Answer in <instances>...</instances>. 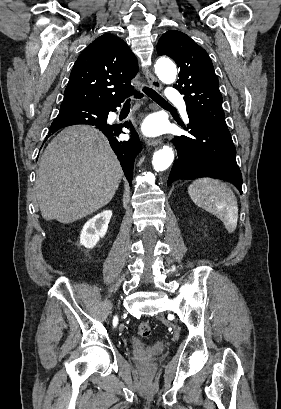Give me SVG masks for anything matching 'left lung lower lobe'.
Here are the masks:
<instances>
[{
  "instance_id": "0a47b994",
  "label": "left lung lower lobe",
  "mask_w": 281,
  "mask_h": 409,
  "mask_svg": "<svg viewBox=\"0 0 281 409\" xmlns=\"http://www.w3.org/2000/svg\"><path fill=\"white\" fill-rule=\"evenodd\" d=\"M188 136H175L178 159L168 185L178 179L212 177L229 181L242 193V176L236 163V149L227 126L188 114Z\"/></svg>"
}]
</instances>
